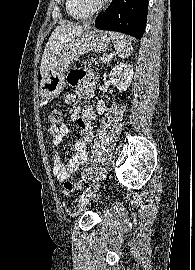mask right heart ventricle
Wrapping results in <instances>:
<instances>
[{
	"label": "right heart ventricle",
	"instance_id": "obj_1",
	"mask_svg": "<svg viewBox=\"0 0 195 270\" xmlns=\"http://www.w3.org/2000/svg\"><path fill=\"white\" fill-rule=\"evenodd\" d=\"M65 8L68 15L73 19L82 20L92 15L91 12L82 9L77 0H65Z\"/></svg>",
	"mask_w": 195,
	"mask_h": 270
}]
</instances>
